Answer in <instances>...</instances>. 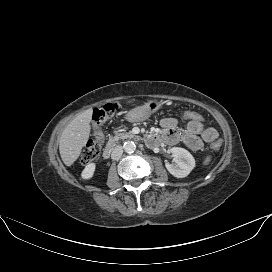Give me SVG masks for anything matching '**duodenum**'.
<instances>
[{
    "instance_id": "410a0bca",
    "label": "duodenum",
    "mask_w": 272,
    "mask_h": 272,
    "mask_svg": "<svg viewBox=\"0 0 272 272\" xmlns=\"http://www.w3.org/2000/svg\"><path fill=\"white\" fill-rule=\"evenodd\" d=\"M145 140L152 147H156V146H158V144L160 142V137H159L158 134H151V135H148ZM115 147H116V141L111 140L104 149L103 157L104 158H109L111 153L115 149Z\"/></svg>"
}]
</instances>
